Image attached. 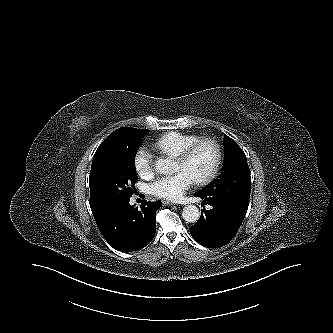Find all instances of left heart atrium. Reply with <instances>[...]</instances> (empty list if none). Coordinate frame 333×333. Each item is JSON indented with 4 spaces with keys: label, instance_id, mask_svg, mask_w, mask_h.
<instances>
[{
    "label": "left heart atrium",
    "instance_id": "39dd6f15",
    "mask_svg": "<svg viewBox=\"0 0 333 333\" xmlns=\"http://www.w3.org/2000/svg\"><path fill=\"white\" fill-rule=\"evenodd\" d=\"M194 179L185 171H179L174 175L161 176L150 185V192L163 199L177 201L193 185Z\"/></svg>",
    "mask_w": 333,
    "mask_h": 333
}]
</instances>
